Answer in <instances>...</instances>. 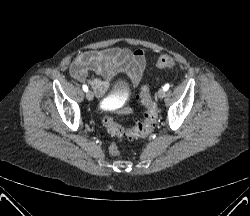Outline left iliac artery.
<instances>
[{
	"label": "left iliac artery",
	"mask_w": 250,
	"mask_h": 216,
	"mask_svg": "<svg viewBox=\"0 0 250 216\" xmlns=\"http://www.w3.org/2000/svg\"><path fill=\"white\" fill-rule=\"evenodd\" d=\"M169 87H170L169 84H165L164 87H163V89H164L165 91H167V90L169 89Z\"/></svg>",
	"instance_id": "1"
}]
</instances>
